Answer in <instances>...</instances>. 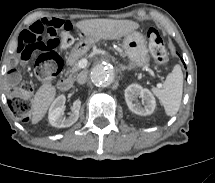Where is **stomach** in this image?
Listing matches in <instances>:
<instances>
[{
    "label": "stomach",
    "instance_id": "stomach-1",
    "mask_svg": "<svg viewBox=\"0 0 215 183\" xmlns=\"http://www.w3.org/2000/svg\"><path fill=\"white\" fill-rule=\"evenodd\" d=\"M95 41L96 39L91 37L81 39L72 48L68 61L86 53ZM123 49L135 67H144L150 61L146 40L139 32L133 31L124 37Z\"/></svg>",
    "mask_w": 215,
    "mask_h": 183
}]
</instances>
